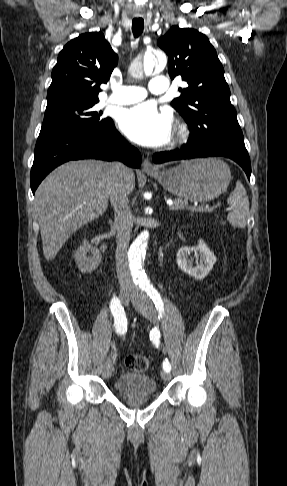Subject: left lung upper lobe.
I'll use <instances>...</instances> for the list:
<instances>
[{
    "instance_id": "5c2ea615",
    "label": "left lung upper lobe",
    "mask_w": 287,
    "mask_h": 486,
    "mask_svg": "<svg viewBox=\"0 0 287 486\" xmlns=\"http://www.w3.org/2000/svg\"><path fill=\"white\" fill-rule=\"evenodd\" d=\"M158 45L169 57L171 79L181 76L188 83L171 105L188 124L189 139L245 147L223 66L208 38L175 25L159 38Z\"/></svg>"
}]
</instances>
